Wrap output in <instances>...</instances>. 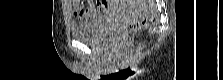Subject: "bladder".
Masks as SVG:
<instances>
[{
    "instance_id": "31cf9c89",
    "label": "bladder",
    "mask_w": 223,
    "mask_h": 80,
    "mask_svg": "<svg viewBox=\"0 0 223 80\" xmlns=\"http://www.w3.org/2000/svg\"><path fill=\"white\" fill-rule=\"evenodd\" d=\"M113 8L104 12L97 19H91L86 22H81L71 25V33L75 39L81 41H96L100 36L105 21L110 18L113 13Z\"/></svg>"
}]
</instances>
